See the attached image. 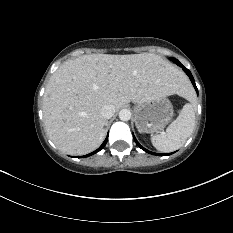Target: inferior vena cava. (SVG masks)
<instances>
[{"label": "inferior vena cava", "instance_id": "1", "mask_svg": "<svg viewBox=\"0 0 233 233\" xmlns=\"http://www.w3.org/2000/svg\"><path fill=\"white\" fill-rule=\"evenodd\" d=\"M100 113L105 119H110L115 113V107L112 104H106L101 108Z\"/></svg>", "mask_w": 233, "mask_h": 233}]
</instances>
